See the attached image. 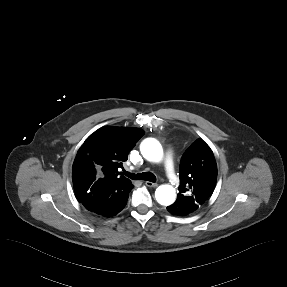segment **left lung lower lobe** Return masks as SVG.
<instances>
[{
    "mask_svg": "<svg viewBox=\"0 0 287 287\" xmlns=\"http://www.w3.org/2000/svg\"><path fill=\"white\" fill-rule=\"evenodd\" d=\"M167 210L174 215H186L189 213V212H187V210L177 206L176 204H172V205L168 206Z\"/></svg>",
    "mask_w": 287,
    "mask_h": 287,
    "instance_id": "left-lung-lower-lobe-1",
    "label": "left lung lower lobe"
}]
</instances>
